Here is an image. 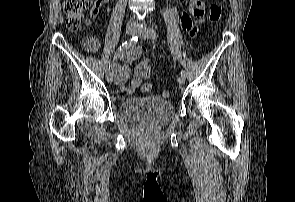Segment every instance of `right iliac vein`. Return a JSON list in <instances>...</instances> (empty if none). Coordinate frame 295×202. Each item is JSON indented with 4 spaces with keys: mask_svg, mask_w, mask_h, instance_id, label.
Listing matches in <instances>:
<instances>
[{
    "mask_svg": "<svg viewBox=\"0 0 295 202\" xmlns=\"http://www.w3.org/2000/svg\"><path fill=\"white\" fill-rule=\"evenodd\" d=\"M136 30H137V28H136L135 24L131 22V23L128 24V26L126 28V34L129 35V36L133 35L136 32ZM106 79H107L108 82L113 83L114 80H115L114 73L111 72V71H108L107 74H106Z\"/></svg>",
    "mask_w": 295,
    "mask_h": 202,
    "instance_id": "obj_1",
    "label": "right iliac vein"
}]
</instances>
